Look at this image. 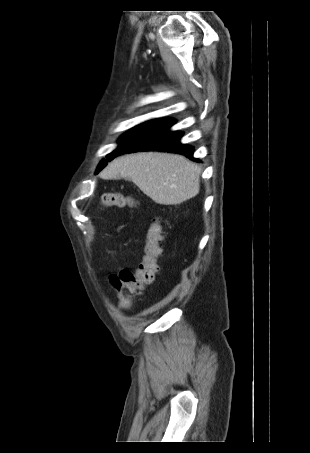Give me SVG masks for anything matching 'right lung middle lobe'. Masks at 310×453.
Wrapping results in <instances>:
<instances>
[{"label":"right lung middle lobe","instance_id":"right-lung-middle-lobe-1","mask_svg":"<svg viewBox=\"0 0 310 453\" xmlns=\"http://www.w3.org/2000/svg\"><path fill=\"white\" fill-rule=\"evenodd\" d=\"M154 121L155 120H150L142 124H139L136 127L129 130L127 133L123 134L119 139L120 146L112 153L108 154L106 160L101 161L96 173H98L102 168H104L107 165L108 161L114 159L131 141L138 137Z\"/></svg>","mask_w":310,"mask_h":453}]
</instances>
